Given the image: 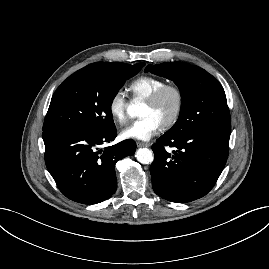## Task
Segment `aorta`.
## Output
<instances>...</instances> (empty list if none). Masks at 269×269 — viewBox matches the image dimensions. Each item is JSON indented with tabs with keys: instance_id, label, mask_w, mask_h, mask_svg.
I'll list each match as a JSON object with an SVG mask.
<instances>
[{
	"instance_id": "762f6f07",
	"label": "aorta",
	"mask_w": 269,
	"mask_h": 269,
	"mask_svg": "<svg viewBox=\"0 0 269 269\" xmlns=\"http://www.w3.org/2000/svg\"><path fill=\"white\" fill-rule=\"evenodd\" d=\"M143 103L139 100H134L129 106L127 107V113L131 117H139L141 116L143 110ZM135 157L138 162L141 164H149L152 163L154 160L153 152L147 148H139L136 153Z\"/></svg>"
}]
</instances>
